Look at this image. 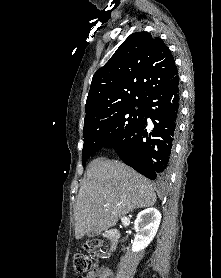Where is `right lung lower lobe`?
Segmentation results:
<instances>
[{
    "label": "right lung lower lobe",
    "instance_id": "right-lung-lower-lobe-1",
    "mask_svg": "<svg viewBox=\"0 0 221 278\" xmlns=\"http://www.w3.org/2000/svg\"><path fill=\"white\" fill-rule=\"evenodd\" d=\"M141 122L118 143L105 147L117 148L119 158L149 179L164 180L170 159L180 110L179 77L174 76L154 89L144 100ZM147 118L153 130H147Z\"/></svg>",
    "mask_w": 221,
    "mask_h": 278
}]
</instances>
